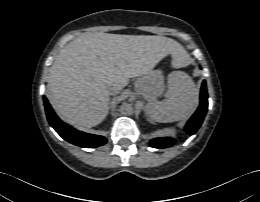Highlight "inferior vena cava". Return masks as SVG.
Returning <instances> with one entry per match:
<instances>
[{"label":"inferior vena cava","instance_id":"obj_1","mask_svg":"<svg viewBox=\"0 0 260 202\" xmlns=\"http://www.w3.org/2000/svg\"><path fill=\"white\" fill-rule=\"evenodd\" d=\"M120 91H121V88H120V87H112V88L110 89V94H111V95H115V94H118Z\"/></svg>","mask_w":260,"mask_h":202}]
</instances>
